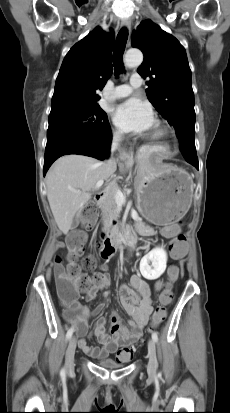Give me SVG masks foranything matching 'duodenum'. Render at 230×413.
I'll return each mask as SVG.
<instances>
[{"mask_svg": "<svg viewBox=\"0 0 230 413\" xmlns=\"http://www.w3.org/2000/svg\"><path fill=\"white\" fill-rule=\"evenodd\" d=\"M107 194V189L104 188L98 191L95 195V201L98 203L103 202ZM131 239L130 230L123 229L120 225L111 224L105 233V239L101 246L102 258H110L116 254L118 249L129 242Z\"/></svg>", "mask_w": 230, "mask_h": 413, "instance_id": "obj_1", "label": "duodenum"}]
</instances>
